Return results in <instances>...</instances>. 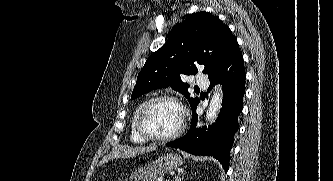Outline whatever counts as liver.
I'll return each instance as SVG.
<instances>
[{"label": "liver", "mask_w": 333, "mask_h": 181, "mask_svg": "<svg viewBox=\"0 0 333 181\" xmlns=\"http://www.w3.org/2000/svg\"><path fill=\"white\" fill-rule=\"evenodd\" d=\"M155 149H156V146L121 147V148H118L115 151H113L111 154H108L107 156H105L99 165H102L105 162H108L113 159L135 157V156L142 155V154H145L148 152H152Z\"/></svg>", "instance_id": "6515ba94"}]
</instances>
